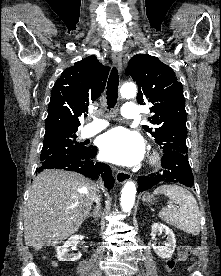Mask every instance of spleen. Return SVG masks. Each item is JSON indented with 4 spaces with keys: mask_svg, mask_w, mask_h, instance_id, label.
<instances>
[{
    "mask_svg": "<svg viewBox=\"0 0 221 276\" xmlns=\"http://www.w3.org/2000/svg\"><path fill=\"white\" fill-rule=\"evenodd\" d=\"M164 194L179 205L177 211L163 208L158 216L169 225L191 235L200 233V211L196 199L187 189L178 185H162L154 194Z\"/></svg>",
    "mask_w": 221,
    "mask_h": 276,
    "instance_id": "3e777b00",
    "label": "spleen"
}]
</instances>
